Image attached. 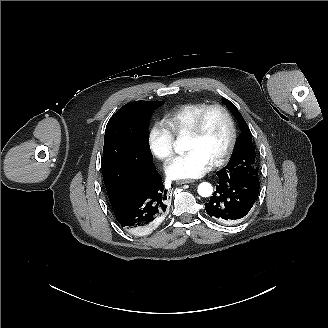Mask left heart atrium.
Returning <instances> with one entry per match:
<instances>
[{"instance_id": "obj_1", "label": "left heart atrium", "mask_w": 328, "mask_h": 328, "mask_svg": "<svg viewBox=\"0 0 328 328\" xmlns=\"http://www.w3.org/2000/svg\"><path fill=\"white\" fill-rule=\"evenodd\" d=\"M212 167L211 160L199 150H189L165 163L166 174L173 179H196Z\"/></svg>"}]
</instances>
